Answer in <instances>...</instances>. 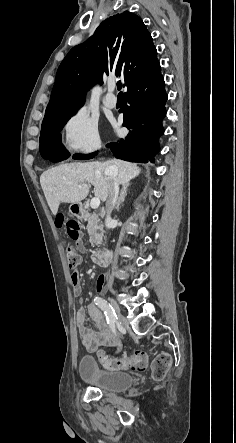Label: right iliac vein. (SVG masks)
Wrapping results in <instances>:
<instances>
[{"label": "right iliac vein", "instance_id": "obj_1", "mask_svg": "<svg viewBox=\"0 0 236 443\" xmlns=\"http://www.w3.org/2000/svg\"><path fill=\"white\" fill-rule=\"evenodd\" d=\"M118 319H119V322H120V323H122V324H125V323H126V319H125V317H124L123 315L118 314Z\"/></svg>", "mask_w": 236, "mask_h": 443}]
</instances>
